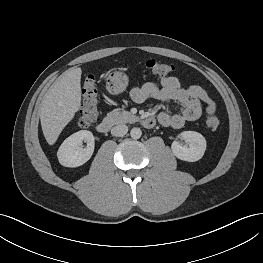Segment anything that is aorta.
Masks as SVG:
<instances>
[{"label": "aorta", "instance_id": "762f6f07", "mask_svg": "<svg viewBox=\"0 0 263 263\" xmlns=\"http://www.w3.org/2000/svg\"><path fill=\"white\" fill-rule=\"evenodd\" d=\"M130 135L133 139H139L142 135V131L140 128L134 127L131 129Z\"/></svg>", "mask_w": 263, "mask_h": 263}]
</instances>
